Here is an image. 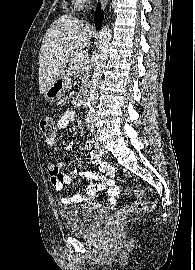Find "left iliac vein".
<instances>
[{
    "label": "left iliac vein",
    "instance_id": "4c4485c4",
    "mask_svg": "<svg viewBox=\"0 0 195 270\" xmlns=\"http://www.w3.org/2000/svg\"><path fill=\"white\" fill-rule=\"evenodd\" d=\"M93 142H94L95 148L97 149V151L100 154H105L106 153V149L100 143L99 137L97 135L94 136Z\"/></svg>",
    "mask_w": 195,
    "mask_h": 270
}]
</instances>
